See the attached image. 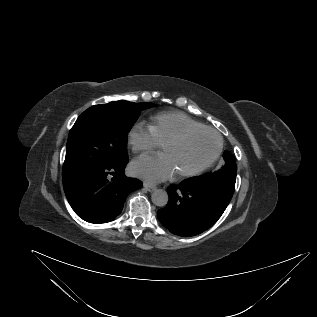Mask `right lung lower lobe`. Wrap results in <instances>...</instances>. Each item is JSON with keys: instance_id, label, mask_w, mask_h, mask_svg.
I'll use <instances>...</instances> for the list:
<instances>
[{"instance_id": "1", "label": "right lung lower lobe", "mask_w": 317, "mask_h": 317, "mask_svg": "<svg viewBox=\"0 0 317 317\" xmlns=\"http://www.w3.org/2000/svg\"><path fill=\"white\" fill-rule=\"evenodd\" d=\"M128 158L63 177L67 199L79 217L90 223L110 222L118 216L126 197L142 187L128 178L124 169Z\"/></svg>"}]
</instances>
